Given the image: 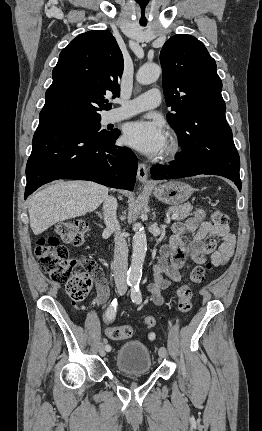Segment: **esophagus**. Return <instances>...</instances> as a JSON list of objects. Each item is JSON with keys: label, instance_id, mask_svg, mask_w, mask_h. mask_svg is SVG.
<instances>
[{"label": "esophagus", "instance_id": "1", "mask_svg": "<svg viewBox=\"0 0 262 431\" xmlns=\"http://www.w3.org/2000/svg\"><path fill=\"white\" fill-rule=\"evenodd\" d=\"M149 168L146 164L140 163L137 170V178L144 186H153V183L148 179Z\"/></svg>", "mask_w": 262, "mask_h": 431}]
</instances>
